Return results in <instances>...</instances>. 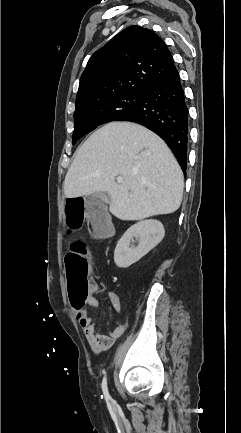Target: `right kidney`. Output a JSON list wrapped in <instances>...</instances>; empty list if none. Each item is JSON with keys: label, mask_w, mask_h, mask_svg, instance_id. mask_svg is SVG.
<instances>
[{"label": "right kidney", "mask_w": 241, "mask_h": 433, "mask_svg": "<svg viewBox=\"0 0 241 433\" xmlns=\"http://www.w3.org/2000/svg\"><path fill=\"white\" fill-rule=\"evenodd\" d=\"M163 224L154 219L140 221L131 226L118 241L114 251V262L119 268H127L145 256L163 239ZM138 239L136 247L131 241Z\"/></svg>", "instance_id": "right-kidney-1"}]
</instances>
